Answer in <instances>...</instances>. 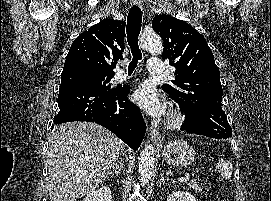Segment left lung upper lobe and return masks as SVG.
Segmentation results:
<instances>
[{"instance_id": "5c2ea615", "label": "left lung upper lobe", "mask_w": 271, "mask_h": 201, "mask_svg": "<svg viewBox=\"0 0 271 201\" xmlns=\"http://www.w3.org/2000/svg\"><path fill=\"white\" fill-rule=\"evenodd\" d=\"M152 28L164 41L163 56L176 68L173 85L162 89L184 111V126L211 138L231 137L221 104L220 72L205 38L188 23L164 14L154 17Z\"/></svg>"}]
</instances>
